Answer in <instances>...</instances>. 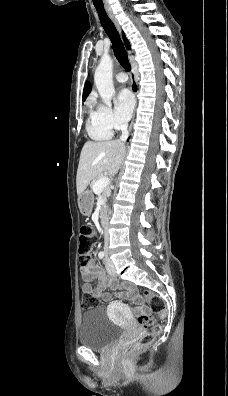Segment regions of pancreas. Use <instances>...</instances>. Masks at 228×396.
<instances>
[{
  "label": "pancreas",
  "mask_w": 228,
  "mask_h": 396,
  "mask_svg": "<svg viewBox=\"0 0 228 396\" xmlns=\"http://www.w3.org/2000/svg\"><path fill=\"white\" fill-rule=\"evenodd\" d=\"M104 177L102 174L100 176H98L97 178H95L91 183H90V188L93 190L95 183L100 179ZM108 194V190H104L103 191V198L106 199V196Z\"/></svg>",
  "instance_id": "cf45deb5"
}]
</instances>
